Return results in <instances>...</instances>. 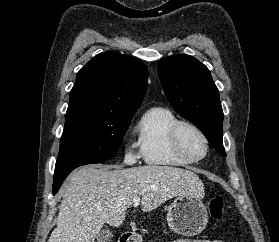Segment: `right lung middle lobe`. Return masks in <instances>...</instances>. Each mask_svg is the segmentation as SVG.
I'll return each mask as SVG.
<instances>
[{"mask_svg":"<svg viewBox=\"0 0 279 242\" xmlns=\"http://www.w3.org/2000/svg\"><path fill=\"white\" fill-rule=\"evenodd\" d=\"M131 117L90 118L66 115L54 181L65 178L75 168L104 162L118 151Z\"/></svg>","mask_w":279,"mask_h":242,"instance_id":"right-lung-middle-lobe-1","label":"right lung middle lobe"}]
</instances>
